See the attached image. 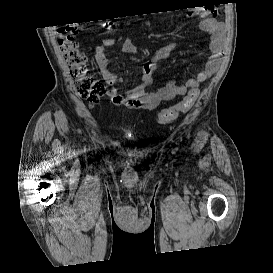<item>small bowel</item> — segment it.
<instances>
[{"mask_svg": "<svg viewBox=\"0 0 273 273\" xmlns=\"http://www.w3.org/2000/svg\"><path fill=\"white\" fill-rule=\"evenodd\" d=\"M193 15L200 17V26L211 36L210 56L204 68L199 71L195 77L189 78L184 84H177L173 81L158 87L155 91H148L147 88L153 84V72L156 64L160 60L167 59L170 54L179 47L178 42H171L154 51L152 60L144 63L139 83L121 94L117 85L120 83V77L109 69V60L102 46L94 50L95 60L99 72L109 86L106 96L109 101L116 106H124L131 109L154 110L161 102L170 101L177 96H184L190 91H197L201 82L212 76L221 64L224 52L225 28L221 22L212 16L211 11H200ZM114 39H107L104 45H112ZM123 51L134 54L138 49L130 38L123 42Z\"/></svg>", "mask_w": 273, "mask_h": 273, "instance_id": "1", "label": "small bowel"}]
</instances>
